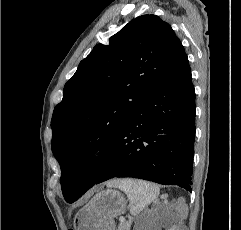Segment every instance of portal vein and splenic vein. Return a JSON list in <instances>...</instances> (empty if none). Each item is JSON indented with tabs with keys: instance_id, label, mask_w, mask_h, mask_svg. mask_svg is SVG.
I'll return each mask as SVG.
<instances>
[{
	"instance_id": "18ae733b",
	"label": "portal vein and splenic vein",
	"mask_w": 241,
	"mask_h": 230,
	"mask_svg": "<svg viewBox=\"0 0 241 230\" xmlns=\"http://www.w3.org/2000/svg\"><path fill=\"white\" fill-rule=\"evenodd\" d=\"M120 223H124L125 222V218L123 216L120 217Z\"/></svg>"
}]
</instances>
